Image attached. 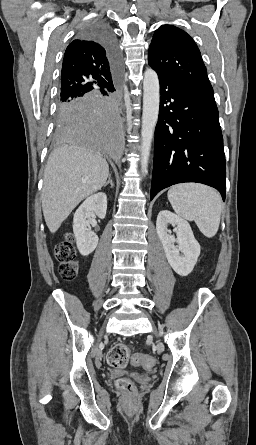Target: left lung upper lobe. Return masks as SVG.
I'll return each instance as SVG.
<instances>
[{"mask_svg":"<svg viewBox=\"0 0 256 445\" xmlns=\"http://www.w3.org/2000/svg\"><path fill=\"white\" fill-rule=\"evenodd\" d=\"M148 63L158 76L173 77L213 94L199 48L190 35L175 26L162 25L155 31Z\"/></svg>","mask_w":256,"mask_h":445,"instance_id":"obj_1","label":"left lung upper lobe"}]
</instances>
